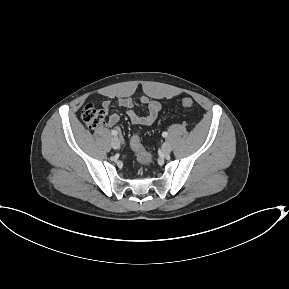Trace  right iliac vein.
<instances>
[{"mask_svg": "<svg viewBox=\"0 0 289 289\" xmlns=\"http://www.w3.org/2000/svg\"><path fill=\"white\" fill-rule=\"evenodd\" d=\"M111 145L114 149H118L120 147V141H119L118 137L112 138Z\"/></svg>", "mask_w": 289, "mask_h": 289, "instance_id": "63e3f726", "label": "right iliac vein"}]
</instances>
